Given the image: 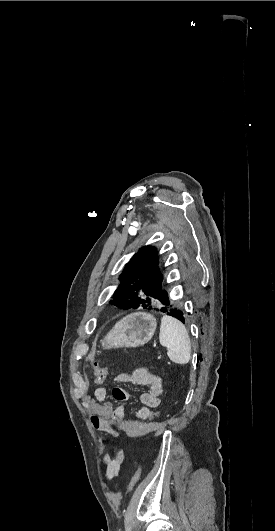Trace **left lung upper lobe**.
Listing matches in <instances>:
<instances>
[{"instance_id":"5c2ea615","label":"left lung upper lobe","mask_w":275,"mask_h":531,"mask_svg":"<svg viewBox=\"0 0 275 531\" xmlns=\"http://www.w3.org/2000/svg\"><path fill=\"white\" fill-rule=\"evenodd\" d=\"M120 281L110 304L123 309L169 305L168 294L161 289L162 275L154 247L140 248L126 264Z\"/></svg>"}]
</instances>
